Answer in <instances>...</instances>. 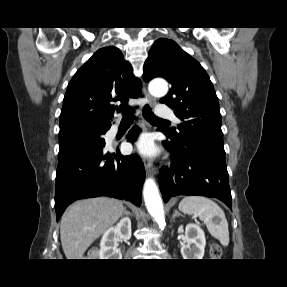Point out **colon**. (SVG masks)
<instances>
[{"instance_id":"1","label":"colon","mask_w":287,"mask_h":287,"mask_svg":"<svg viewBox=\"0 0 287 287\" xmlns=\"http://www.w3.org/2000/svg\"><path fill=\"white\" fill-rule=\"evenodd\" d=\"M210 256L214 259L220 258L222 255V248L217 243H212L209 249Z\"/></svg>"}]
</instances>
